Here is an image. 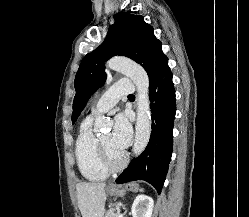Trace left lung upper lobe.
<instances>
[{
	"mask_svg": "<svg viewBox=\"0 0 249 217\" xmlns=\"http://www.w3.org/2000/svg\"><path fill=\"white\" fill-rule=\"evenodd\" d=\"M116 55L129 57L140 64L147 71L149 79L166 58L161 42L154 36L152 26L144 21L143 16L117 14L104 42L87 54L80 64L74 82L73 124L90 96L103 86L107 77L104 62Z\"/></svg>",
	"mask_w": 249,
	"mask_h": 217,
	"instance_id": "1",
	"label": "left lung upper lobe"
}]
</instances>
